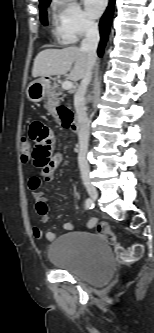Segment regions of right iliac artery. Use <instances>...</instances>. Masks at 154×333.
<instances>
[{
  "mask_svg": "<svg viewBox=\"0 0 154 333\" xmlns=\"http://www.w3.org/2000/svg\"><path fill=\"white\" fill-rule=\"evenodd\" d=\"M85 207L87 209H92L94 207V203H93V201L90 198L86 199V201H85Z\"/></svg>",
  "mask_w": 154,
  "mask_h": 333,
  "instance_id": "82829eb1",
  "label": "right iliac artery"
}]
</instances>
